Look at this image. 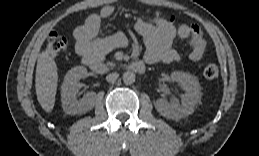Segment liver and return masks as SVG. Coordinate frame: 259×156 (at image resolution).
Returning a JSON list of instances; mask_svg holds the SVG:
<instances>
[{"label":"liver","mask_w":259,"mask_h":156,"mask_svg":"<svg viewBox=\"0 0 259 156\" xmlns=\"http://www.w3.org/2000/svg\"><path fill=\"white\" fill-rule=\"evenodd\" d=\"M58 72L54 59L48 52L39 54L36 66L35 88L37 100L43 110L50 113L55 104Z\"/></svg>","instance_id":"liver-1"}]
</instances>
